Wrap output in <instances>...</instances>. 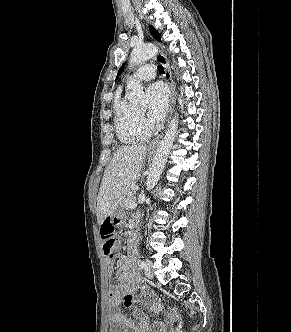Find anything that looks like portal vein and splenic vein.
Masks as SVG:
<instances>
[{
	"label": "portal vein and splenic vein",
	"instance_id": "1",
	"mask_svg": "<svg viewBox=\"0 0 291 332\" xmlns=\"http://www.w3.org/2000/svg\"><path fill=\"white\" fill-rule=\"evenodd\" d=\"M137 204L135 202L130 203L127 208H134Z\"/></svg>",
	"mask_w": 291,
	"mask_h": 332
}]
</instances>
